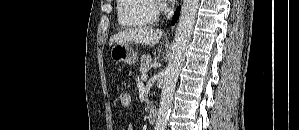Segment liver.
Wrapping results in <instances>:
<instances>
[{
	"label": "liver",
	"instance_id": "6515ba94",
	"mask_svg": "<svg viewBox=\"0 0 299 130\" xmlns=\"http://www.w3.org/2000/svg\"><path fill=\"white\" fill-rule=\"evenodd\" d=\"M163 31L160 29L152 28H133L125 29L110 38L109 45L114 43H138L145 46L153 47L162 38Z\"/></svg>",
	"mask_w": 299,
	"mask_h": 130
}]
</instances>
